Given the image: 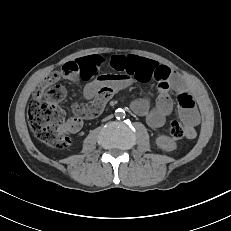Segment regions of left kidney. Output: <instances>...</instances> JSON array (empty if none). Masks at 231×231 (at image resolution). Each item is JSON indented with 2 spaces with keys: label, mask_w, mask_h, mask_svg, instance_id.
<instances>
[{
  "label": "left kidney",
  "mask_w": 231,
  "mask_h": 231,
  "mask_svg": "<svg viewBox=\"0 0 231 231\" xmlns=\"http://www.w3.org/2000/svg\"><path fill=\"white\" fill-rule=\"evenodd\" d=\"M156 144L160 149L167 152H171L177 148L176 142L172 138L165 135L157 137Z\"/></svg>",
  "instance_id": "5707ae66"
}]
</instances>
